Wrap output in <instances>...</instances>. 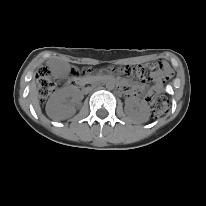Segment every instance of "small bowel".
<instances>
[{
	"instance_id": "c3829d8e",
	"label": "small bowel",
	"mask_w": 206,
	"mask_h": 206,
	"mask_svg": "<svg viewBox=\"0 0 206 206\" xmlns=\"http://www.w3.org/2000/svg\"><path fill=\"white\" fill-rule=\"evenodd\" d=\"M156 81H157V86L160 87L161 86V77L157 76Z\"/></svg>"
}]
</instances>
